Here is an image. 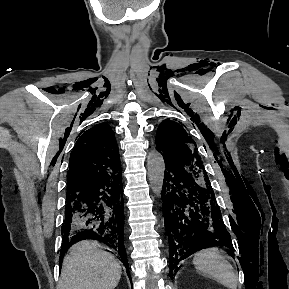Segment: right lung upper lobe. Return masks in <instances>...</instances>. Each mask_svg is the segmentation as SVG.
Segmentation results:
<instances>
[{
    "instance_id": "cb5924a9",
    "label": "right lung upper lobe",
    "mask_w": 289,
    "mask_h": 289,
    "mask_svg": "<svg viewBox=\"0 0 289 289\" xmlns=\"http://www.w3.org/2000/svg\"><path fill=\"white\" fill-rule=\"evenodd\" d=\"M121 173L120 156L108 123L85 131L71 152L67 173V194L80 192L105 176Z\"/></svg>"
}]
</instances>
